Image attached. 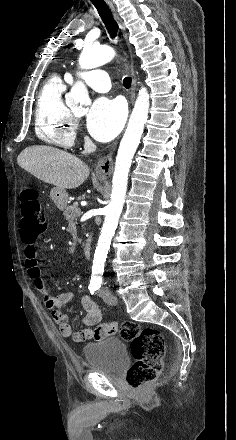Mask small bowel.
Instances as JSON below:
<instances>
[{"instance_id":"small-bowel-1","label":"small bowel","mask_w":236,"mask_h":440,"mask_svg":"<svg viewBox=\"0 0 236 440\" xmlns=\"http://www.w3.org/2000/svg\"><path fill=\"white\" fill-rule=\"evenodd\" d=\"M24 259L28 269V275L34 282L36 289L42 296L43 304L51 311L54 322L59 327V332L64 337L72 336L75 342L81 343L89 339H96L97 342H106L114 336L116 328L115 321H101V312L96 303L88 296L81 298V304L85 311L82 323L86 326L73 327L70 316L63 311V308L72 300L71 292H62L52 296L43 278L42 271L37 262V249L33 243L24 242ZM100 323V324H99Z\"/></svg>"}]
</instances>
